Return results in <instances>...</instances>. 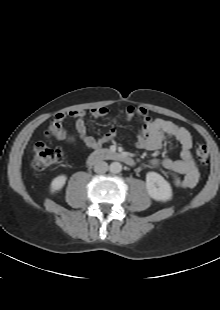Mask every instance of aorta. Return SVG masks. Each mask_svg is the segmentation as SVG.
<instances>
[{
  "label": "aorta",
  "mask_w": 220,
  "mask_h": 310,
  "mask_svg": "<svg viewBox=\"0 0 220 310\" xmlns=\"http://www.w3.org/2000/svg\"><path fill=\"white\" fill-rule=\"evenodd\" d=\"M109 170L111 173L117 174L121 172L122 165L119 162H112L109 166Z\"/></svg>",
  "instance_id": "762f6f07"
}]
</instances>
